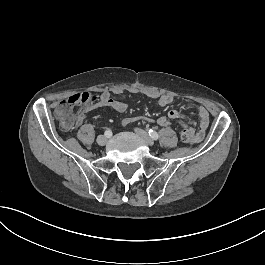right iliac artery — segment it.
Returning <instances> with one entry per match:
<instances>
[{"label":"right iliac artery","instance_id":"82829eb1","mask_svg":"<svg viewBox=\"0 0 265 265\" xmlns=\"http://www.w3.org/2000/svg\"><path fill=\"white\" fill-rule=\"evenodd\" d=\"M104 135L107 137V138H110L112 136V132L110 130H106Z\"/></svg>","mask_w":265,"mask_h":265}]
</instances>
